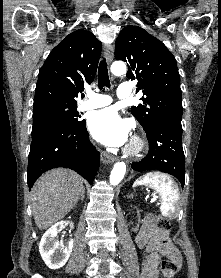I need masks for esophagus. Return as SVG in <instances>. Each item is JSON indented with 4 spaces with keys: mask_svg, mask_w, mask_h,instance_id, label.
Listing matches in <instances>:
<instances>
[{
    "mask_svg": "<svg viewBox=\"0 0 221 278\" xmlns=\"http://www.w3.org/2000/svg\"><path fill=\"white\" fill-rule=\"evenodd\" d=\"M104 52H105V56L107 58L108 63H111L113 60V57H114L113 45L106 44L105 48H104ZM115 160H116V158L113 155L106 153L104 151L101 152V161L104 164L113 163Z\"/></svg>",
    "mask_w": 221,
    "mask_h": 278,
    "instance_id": "esophagus-1",
    "label": "esophagus"
}]
</instances>
